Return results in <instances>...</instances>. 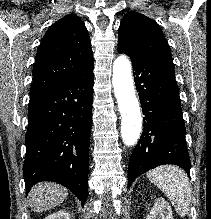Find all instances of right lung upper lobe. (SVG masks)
<instances>
[{"label":"right lung upper lobe","mask_w":211,"mask_h":219,"mask_svg":"<svg viewBox=\"0 0 211 219\" xmlns=\"http://www.w3.org/2000/svg\"><path fill=\"white\" fill-rule=\"evenodd\" d=\"M94 64L91 41L80 17L70 14L44 35L33 68L30 97L45 93Z\"/></svg>","instance_id":"cb5924a9"}]
</instances>
